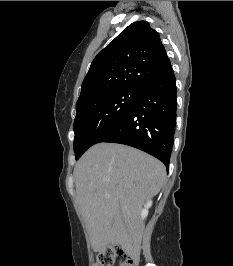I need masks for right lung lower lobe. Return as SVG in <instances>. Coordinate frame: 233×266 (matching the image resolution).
I'll return each mask as SVG.
<instances>
[{
  "label": "right lung lower lobe",
  "instance_id": "obj_1",
  "mask_svg": "<svg viewBox=\"0 0 233 266\" xmlns=\"http://www.w3.org/2000/svg\"><path fill=\"white\" fill-rule=\"evenodd\" d=\"M176 118V84L172 67L150 82L134 104L98 139L129 145L161 160L169 170Z\"/></svg>",
  "mask_w": 233,
  "mask_h": 266
}]
</instances>
